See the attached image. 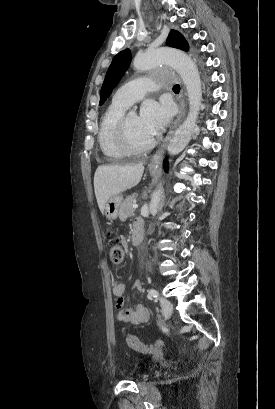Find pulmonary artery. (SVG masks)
Returning a JSON list of instances; mask_svg holds the SVG:
<instances>
[{
    "instance_id": "1",
    "label": "pulmonary artery",
    "mask_w": 275,
    "mask_h": 409,
    "mask_svg": "<svg viewBox=\"0 0 275 409\" xmlns=\"http://www.w3.org/2000/svg\"><path fill=\"white\" fill-rule=\"evenodd\" d=\"M159 82L154 79H130L129 85H118L113 103L128 109L134 102L140 100L143 94L149 93L151 88L157 87Z\"/></svg>"
}]
</instances>
